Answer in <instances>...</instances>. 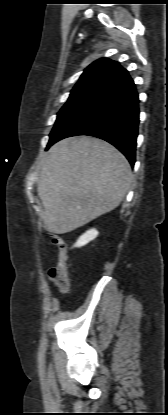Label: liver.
<instances>
[{
	"label": "liver",
	"mask_w": 168,
	"mask_h": 415,
	"mask_svg": "<svg viewBox=\"0 0 168 415\" xmlns=\"http://www.w3.org/2000/svg\"><path fill=\"white\" fill-rule=\"evenodd\" d=\"M131 167L111 144L89 136L53 145L37 185L47 231L64 234L115 209L131 183Z\"/></svg>",
	"instance_id": "1"
}]
</instances>
